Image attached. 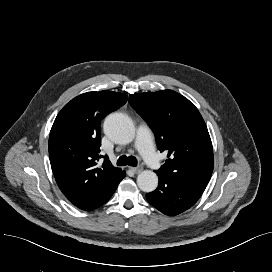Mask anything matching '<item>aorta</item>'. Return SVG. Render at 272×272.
Masks as SVG:
<instances>
[{
	"label": "aorta",
	"mask_w": 272,
	"mask_h": 272,
	"mask_svg": "<svg viewBox=\"0 0 272 272\" xmlns=\"http://www.w3.org/2000/svg\"><path fill=\"white\" fill-rule=\"evenodd\" d=\"M104 132L114 142L130 143L135 137V126L125 114L115 112L109 114L104 121ZM137 185L144 192H152L158 186V176L151 170L142 171L137 177Z\"/></svg>",
	"instance_id": "762f6f07"
}]
</instances>
